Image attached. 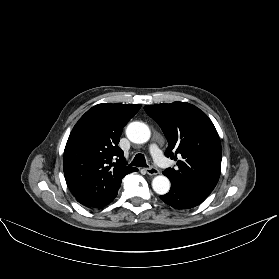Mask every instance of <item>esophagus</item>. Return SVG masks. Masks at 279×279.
Here are the masks:
<instances>
[{
	"label": "esophagus",
	"mask_w": 279,
	"mask_h": 279,
	"mask_svg": "<svg viewBox=\"0 0 279 279\" xmlns=\"http://www.w3.org/2000/svg\"><path fill=\"white\" fill-rule=\"evenodd\" d=\"M145 171L148 175H157L159 174V170L154 167V166H150L148 168H145Z\"/></svg>",
	"instance_id": "34e87169"
}]
</instances>
